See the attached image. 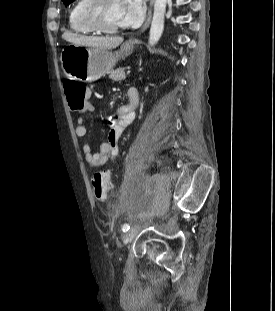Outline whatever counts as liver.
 <instances>
[{
  "instance_id": "liver-1",
  "label": "liver",
  "mask_w": 275,
  "mask_h": 311,
  "mask_svg": "<svg viewBox=\"0 0 275 311\" xmlns=\"http://www.w3.org/2000/svg\"><path fill=\"white\" fill-rule=\"evenodd\" d=\"M62 38L72 44L83 45L88 47H96L99 49H114L118 47L122 42V37H94V36H83L74 33L65 32Z\"/></svg>"
}]
</instances>
